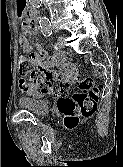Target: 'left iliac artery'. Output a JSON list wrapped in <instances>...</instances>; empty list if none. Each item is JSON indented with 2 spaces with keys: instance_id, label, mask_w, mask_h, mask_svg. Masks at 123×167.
<instances>
[{
  "instance_id": "left-iliac-artery-1",
  "label": "left iliac artery",
  "mask_w": 123,
  "mask_h": 167,
  "mask_svg": "<svg viewBox=\"0 0 123 167\" xmlns=\"http://www.w3.org/2000/svg\"><path fill=\"white\" fill-rule=\"evenodd\" d=\"M52 35V29L48 30V32L45 34V36H51ZM55 48H58V43L55 44Z\"/></svg>"
}]
</instances>
